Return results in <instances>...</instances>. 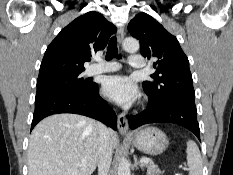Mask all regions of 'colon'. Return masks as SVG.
Listing matches in <instances>:
<instances>
[{"instance_id":"obj_1","label":"colon","mask_w":233,"mask_h":175,"mask_svg":"<svg viewBox=\"0 0 233 175\" xmlns=\"http://www.w3.org/2000/svg\"><path fill=\"white\" fill-rule=\"evenodd\" d=\"M175 175H183V174H181V173H177V174H175Z\"/></svg>"}]
</instances>
